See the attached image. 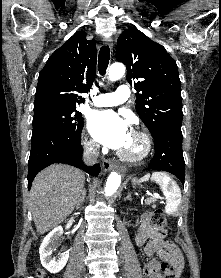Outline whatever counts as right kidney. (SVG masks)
I'll list each match as a JSON object with an SVG mask.
<instances>
[{
	"mask_svg": "<svg viewBox=\"0 0 221 278\" xmlns=\"http://www.w3.org/2000/svg\"><path fill=\"white\" fill-rule=\"evenodd\" d=\"M62 234L63 228L61 226L56 227L43 239L39 248L41 264L52 274L60 272L66 265L69 258V251L60 253L58 259L52 256V253L56 250L57 242Z\"/></svg>",
	"mask_w": 221,
	"mask_h": 278,
	"instance_id": "obj_1",
	"label": "right kidney"
}]
</instances>
